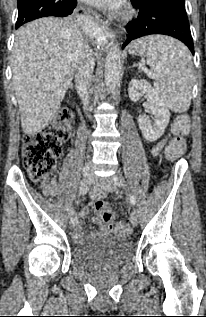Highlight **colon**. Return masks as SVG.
<instances>
[{"mask_svg": "<svg viewBox=\"0 0 206 317\" xmlns=\"http://www.w3.org/2000/svg\"><path fill=\"white\" fill-rule=\"evenodd\" d=\"M72 112L63 108L59 111L54 121L37 134L27 135L24 138L23 162L30 178L34 181H42L48 186L47 177L56 166L62 144L68 139L71 130ZM190 122L187 115H178L173 123L175 137L166 148L168 159L174 160L186 151L184 136L189 132ZM95 212L104 222H111L113 214L107 204L98 200L94 203ZM113 229L120 235H127L130 228L126 223H115Z\"/></svg>", "mask_w": 206, "mask_h": 317, "instance_id": "obj_1", "label": "colon"}]
</instances>
